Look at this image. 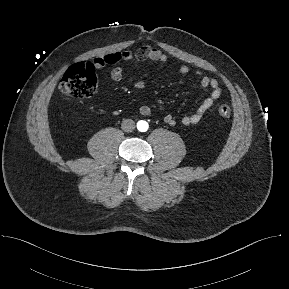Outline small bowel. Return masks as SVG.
I'll return each instance as SVG.
<instances>
[{"label": "small bowel", "mask_w": 289, "mask_h": 289, "mask_svg": "<svg viewBox=\"0 0 289 289\" xmlns=\"http://www.w3.org/2000/svg\"><path fill=\"white\" fill-rule=\"evenodd\" d=\"M130 60H134L137 62L145 60L166 62L168 60V57L165 53H163L156 47H153L151 45H145L136 51H118L96 57L93 60V64L95 66V69L100 70L107 65H116L119 62ZM179 72L183 75H187L190 70L187 66L183 65L179 68ZM123 74V68L116 66L111 70L110 76L113 81L120 82L123 79ZM195 76L198 81V87L202 90L209 91V95L200 103L194 113L182 117L181 123L184 126L198 124L204 114L213 106L214 102L219 99L222 94V89L216 79L210 78L201 71L196 72ZM143 87L144 83L142 81H139L134 85V88L136 90H141L143 89ZM139 112L144 116H148L152 113V109L148 105H142L139 108ZM164 121L170 126H174L177 122L176 118L171 114L165 115Z\"/></svg>", "instance_id": "c3829d8e"}]
</instances>
